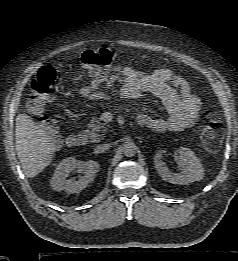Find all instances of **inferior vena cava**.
Segmentation results:
<instances>
[{
    "mask_svg": "<svg viewBox=\"0 0 238 261\" xmlns=\"http://www.w3.org/2000/svg\"><path fill=\"white\" fill-rule=\"evenodd\" d=\"M109 148H110V144H101L95 148V151L97 153H102V152H105L106 150H108Z\"/></svg>",
    "mask_w": 238,
    "mask_h": 261,
    "instance_id": "1",
    "label": "inferior vena cava"
}]
</instances>
